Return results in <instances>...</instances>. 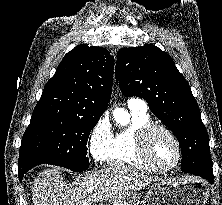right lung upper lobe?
<instances>
[{"instance_id":"cb5924a9","label":"right lung upper lobe","mask_w":222,"mask_h":205,"mask_svg":"<svg viewBox=\"0 0 222 205\" xmlns=\"http://www.w3.org/2000/svg\"><path fill=\"white\" fill-rule=\"evenodd\" d=\"M114 58L102 47L76 46L47 82L32 117H100L111 97Z\"/></svg>"}]
</instances>
